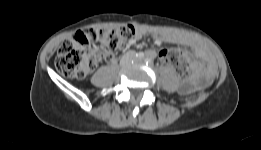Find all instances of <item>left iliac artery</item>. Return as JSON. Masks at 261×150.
<instances>
[{
  "label": "left iliac artery",
  "instance_id": "left-iliac-artery-1",
  "mask_svg": "<svg viewBox=\"0 0 261 150\" xmlns=\"http://www.w3.org/2000/svg\"><path fill=\"white\" fill-rule=\"evenodd\" d=\"M146 63H147V64H152V63H153V61H152V59H151V58H149V57H148V58H146Z\"/></svg>",
  "mask_w": 261,
  "mask_h": 150
}]
</instances>
